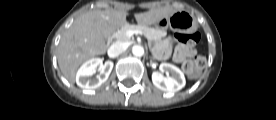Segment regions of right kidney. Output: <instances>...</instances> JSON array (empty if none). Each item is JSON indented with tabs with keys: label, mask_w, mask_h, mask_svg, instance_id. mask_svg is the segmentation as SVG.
Here are the masks:
<instances>
[{
	"label": "right kidney",
	"mask_w": 276,
	"mask_h": 120,
	"mask_svg": "<svg viewBox=\"0 0 276 120\" xmlns=\"http://www.w3.org/2000/svg\"><path fill=\"white\" fill-rule=\"evenodd\" d=\"M113 69V62L107 61L103 64L102 59L92 58L86 61L77 71L76 83L79 87L85 90H93L101 86L109 77ZM100 74L96 79H90L96 71Z\"/></svg>",
	"instance_id": "right-kidney-1"
}]
</instances>
